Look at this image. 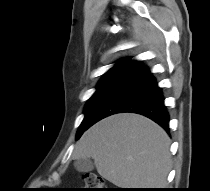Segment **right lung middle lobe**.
Here are the masks:
<instances>
[{
  "label": "right lung middle lobe",
  "mask_w": 210,
  "mask_h": 191,
  "mask_svg": "<svg viewBox=\"0 0 210 191\" xmlns=\"http://www.w3.org/2000/svg\"><path fill=\"white\" fill-rule=\"evenodd\" d=\"M128 62L127 59L120 60L116 66L104 74L103 78L97 85L96 92L86 103L84 109L85 117L77 131L76 139H79L83 132L95 123V116L98 108L107 98L115 83L123 74Z\"/></svg>",
  "instance_id": "dd1d6c3e"
}]
</instances>
